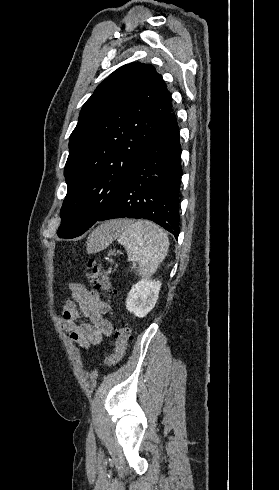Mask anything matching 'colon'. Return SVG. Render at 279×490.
<instances>
[{
  "instance_id": "obj_1",
  "label": "colon",
  "mask_w": 279,
  "mask_h": 490,
  "mask_svg": "<svg viewBox=\"0 0 279 490\" xmlns=\"http://www.w3.org/2000/svg\"><path fill=\"white\" fill-rule=\"evenodd\" d=\"M71 251L76 254V248L72 247ZM80 267L88 278L90 284L95 290L103 292L112 291V283L109 272L102 268L93 258L81 257ZM132 342L131 329L127 324L117 326L114 332V350L107 355L104 363L106 365H116L126 355Z\"/></svg>"
}]
</instances>
